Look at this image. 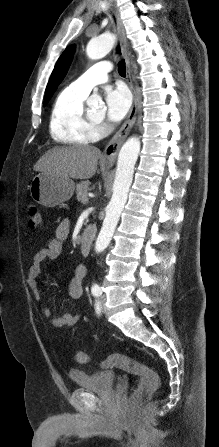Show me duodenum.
<instances>
[{"instance_id":"obj_1","label":"duodenum","mask_w":219,"mask_h":447,"mask_svg":"<svg viewBox=\"0 0 219 447\" xmlns=\"http://www.w3.org/2000/svg\"><path fill=\"white\" fill-rule=\"evenodd\" d=\"M96 228L93 225L87 226L82 234L80 241V250L83 256H88L91 249V244L95 236Z\"/></svg>"}]
</instances>
